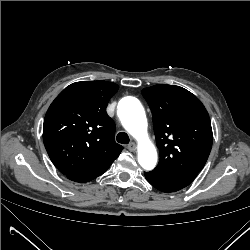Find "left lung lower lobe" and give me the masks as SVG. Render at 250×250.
<instances>
[{"label": "left lung lower lobe", "mask_w": 250, "mask_h": 250, "mask_svg": "<svg viewBox=\"0 0 250 250\" xmlns=\"http://www.w3.org/2000/svg\"><path fill=\"white\" fill-rule=\"evenodd\" d=\"M197 171L165 173L150 171L144 172L147 181L163 192H175L188 186L197 176Z\"/></svg>", "instance_id": "obj_1"}]
</instances>
